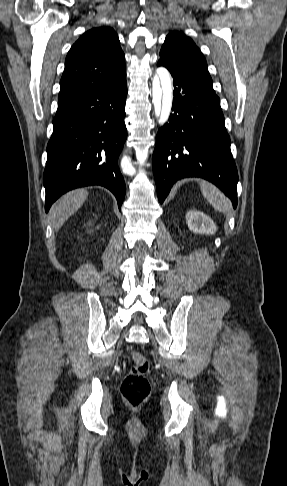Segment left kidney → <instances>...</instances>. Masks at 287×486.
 I'll return each mask as SVG.
<instances>
[{
    "mask_svg": "<svg viewBox=\"0 0 287 486\" xmlns=\"http://www.w3.org/2000/svg\"><path fill=\"white\" fill-rule=\"evenodd\" d=\"M186 223L188 224V228L195 234L212 235L217 230L213 220L203 212L197 210L187 212Z\"/></svg>",
    "mask_w": 287,
    "mask_h": 486,
    "instance_id": "obj_1",
    "label": "left kidney"
}]
</instances>
